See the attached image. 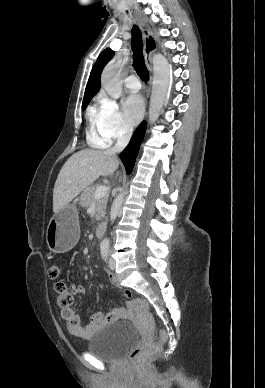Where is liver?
<instances>
[{
    "label": "liver",
    "instance_id": "obj_1",
    "mask_svg": "<svg viewBox=\"0 0 265 388\" xmlns=\"http://www.w3.org/2000/svg\"><path fill=\"white\" fill-rule=\"evenodd\" d=\"M119 160L110 150H81L61 168L53 190V212L72 202L100 176L116 172ZM93 168V170H90Z\"/></svg>",
    "mask_w": 265,
    "mask_h": 388
}]
</instances>
